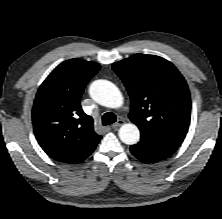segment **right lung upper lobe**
<instances>
[{
    "instance_id": "cb5924a9",
    "label": "right lung upper lobe",
    "mask_w": 222,
    "mask_h": 219,
    "mask_svg": "<svg viewBox=\"0 0 222 219\" xmlns=\"http://www.w3.org/2000/svg\"><path fill=\"white\" fill-rule=\"evenodd\" d=\"M100 65L82 59L59 64L41 84L32 110L36 139L45 153L64 163H80L96 148L100 135L80 98Z\"/></svg>"
}]
</instances>
